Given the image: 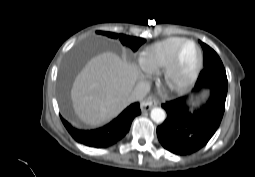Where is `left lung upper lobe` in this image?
I'll list each match as a JSON object with an SVG mask.
<instances>
[{
    "label": "left lung upper lobe",
    "instance_id": "1",
    "mask_svg": "<svg viewBox=\"0 0 255 177\" xmlns=\"http://www.w3.org/2000/svg\"><path fill=\"white\" fill-rule=\"evenodd\" d=\"M204 52V68L201 71L198 83H219L228 85L226 71L217 53L208 45L200 41Z\"/></svg>",
    "mask_w": 255,
    "mask_h": 177
}]
</instances>
